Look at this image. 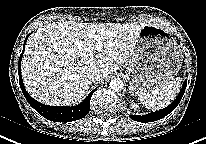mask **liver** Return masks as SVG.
<instances>
[{
	"mask_svg": "<svg viewBox=\"0 0 206 144\" xmlns=\"http://www.w3.org/2000/svg\"><path fill=\"white\" fill-rule=\"evenodd\" d=\"M146 24L53 22L29 38L22 59V78L27 92L47 105H75L86 96L92 81L90 68L101 79L119 69L133 55L136 39ZM95 33L103 37L96 50Z\"/></svg>",
	"mask_w": 206,
	"mask_h": 144,
	"instance_id": "1",
	"label": "liver"
}]
</instances>
